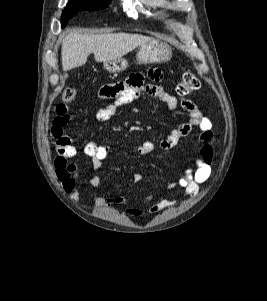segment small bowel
Listing matches in <instances>:
<instances>
[{
    "label": "small bowel",
    "mask_w": 267,
    "mask_h": 301,
    "mask_svg": "<svg viewBox=\"0 0 267 301\" xmlns=\"http://www.w3.org/2000/svg\"><path fill=\"white\" fill-rule=\"evenodd\" d=\"M149 78L154 82L161 80L162 75L159 70H150L148 73H133L125 80L118 81L102 86L97 93L101 102L113 101L110 104L102 105L96 113V118L100 121L111 119L118 107L127 105L138 99L142 94L159 99L164 102L170 110H175L179 105L187 112L188 120L177 128L171 130L168 136L158 144L147 140L138 146L134 152L138 154H150L155 150L174 149L179 141L188 135L193 127L199 130V142L201 143L200 155L194 161L193 167H188L183 174L168 186V189L178 188L185 195L194 197L200 190V185L205 183L212 175L213 151L210 142L213 138L212 122L209 118L203 116L197 106L188 99H182L179 103L176 97L167 93L162 86L155 83H145ZM56 117L51 129V136L56 144L57 154L55 157L56 175L64 191L71 195L74 200L78 199V189L76 175L78 173L77 165L69 162L68 159L77 154L71 139L64 133V128L71 120L68 108L65 103H60L55 108ZM113 147L109 144H99L90 141L85 144L83 152L91 158L94 173L88 183L93 189H104L103 182L98 174L102 162L112 154ZM142 180L141 174L134 175V182L139 183ZM98 204L105 203L107 206L125 204L126 198L123 196H110L105 199L97 197ZM174 202L173 198L162 199L147 208L149 214H156L168 209ZM132 216H141L143 211L130 208L126 211Z\"/></svg>",
    "instance_id": "obj_1"
}]
</instances>
